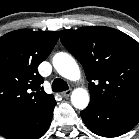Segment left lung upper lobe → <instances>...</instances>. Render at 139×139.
<instances>
[{"instance_id":"1","label":"left lung upper lobe","mask_w":139,"mask_h":139,"mask_svg":"<svg viewBox=\"0 0 139 139\" xmlns=\"http://www.w3.org/2000/svg\"><path fill=\"white\" fill-rule=\"evenodd\" d=\"M68 51L82 64L90 102L110 106L139 99V43L109 27L59 32Z\"/></svg>"}]
</instances>
